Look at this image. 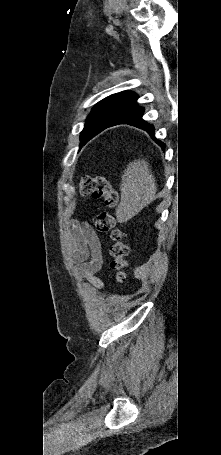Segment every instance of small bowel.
Listing matches in <instances>:
<instances>
[{"instance_id":"small-bowel-1","label":"small bowel","mask_w":221,"mask_h":455,"mask_svg":"<svg viewBox=\"0 0 221 455\" xmlns=\"http://www.w3.org/2000/svg\"><path fill=\"white\" fill-rule=\"evenodd\" d=\"M69 252L75 265L80 266V274L98 289L104 283L98 275L104 262L101 245L91 227L86 223H75L67 235Z\"/></svg>"}]
</instances>
